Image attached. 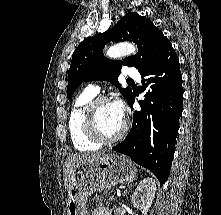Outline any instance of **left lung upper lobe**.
I'll return each instance as SVG.
<instances>
[{
  "mask_svg": "<svg viewBox=\"0 0 221 215\" xmlns=\"http://www.w3.org/2000/svg\"><path fill=\"white\" fill-rule=\"evenodd\" d=\"M114 41H133L138 53L123 61H112L104 57L106 43ZM169 40L149 19L137 13H128L107 32L82 41L72 55L68 71L67 97H71L82 82L107 80L116 87L117 76L122 65L135 67L140 73L146 71L158 58ZM129 103L133 97L130 88L119 89Z\"/></svg>",
  "mask_w": 221,
  "mask_h": 215,
  "instance_id": "5c2ea615",
  "label": "left lung upper lobe"
}]
</instances>
